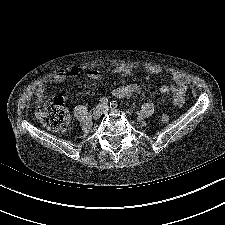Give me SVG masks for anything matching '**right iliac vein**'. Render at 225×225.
Instances as JSON below:
<instances>
[{"label":"right iliac vein","mask_w":225,"mask_h":225,"mask_svg":"<svg viewBox=\"0 0 225 225\" xmlns=\"http://www.w3.org/2000/svg\"><path fill=\"white\" fill-rule=\"evenodd\" d=\"M103 113V107L101 105L96 106L92 111V117L94 120H97L101 117Z\"/></svg>","instance_id":"1"}]
</instances>
